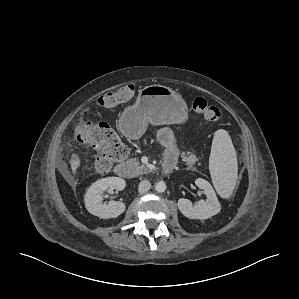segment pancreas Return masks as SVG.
Returning <instances> with one entry per match:
<instances>
[{
    "label": "pancreas",
    "mask_w": 299,
    "mask_h": 299,
    "mask_svg": "<svg viewBox=\"0 0 299 299\" xmlns=\"http://www.w3.org/2000/svg\"><path fill=\"white\" fill-rule=\"evenodd\" d=\"M181 158L182 161L185 162V164L187 165V169L193 171L196 170V168L193 165L199 161V158L195 154L191 152H183L181 154ZM128 163L133 166L135 175H142L150 172V169H148L145 165H141L137 158H132L128 160ZM198 164L200 165V163Z\"/></svg>",
    "instance_id": "1"
}]
</instances>
